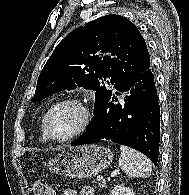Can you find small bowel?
<instances>
[{
    "label": "small bowel",
    "instance_id": "small-bowel-1",
    "mask_svg": "<svg viewBox=\"0 0 189 195\" xmlns=\"http://www.w3.org/2000/svg\"><path fill=\"white\" fill-rule=\"evenodd\" d=\"M65 195H76V193L73 190H68ZM81 195H95V191L92 187H84L81 190Z\"/></svg>",
    "mask_w": 189,
    "mask_h": 195
}]
</instances>
